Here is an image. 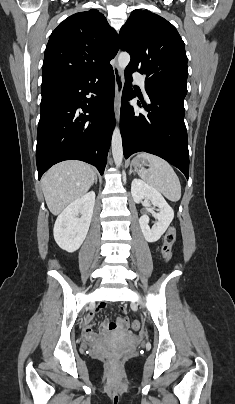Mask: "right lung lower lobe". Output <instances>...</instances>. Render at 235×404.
Returning a JSON list of instances; mask_svg holds the SVG:
<instances>
[{
  "instance_id": "right-lung-lower-lobe-1",
  "label": "right lung lower lobe",
  "mask_w": 235,
  "mask_h": 404,
  "mask_svg": "<svg viewBox=\"0 0 235 404\" xmlns=\"http://www.w3.org/2000/svg\"><path fill=\"white\" fill-rule=\"evenodd\" d=\"M36 163L40 179L52 165L81 160L103 174L115 125L112 66L41 87ZM93 93L91 98H87Z\"/></svg>"
}]
</instances>
